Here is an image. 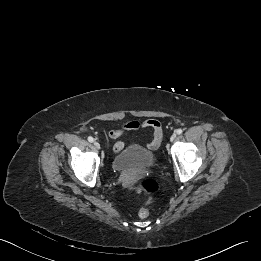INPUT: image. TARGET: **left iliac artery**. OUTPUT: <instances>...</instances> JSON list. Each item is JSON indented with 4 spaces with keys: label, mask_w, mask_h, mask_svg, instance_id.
<instances>
[{
    "label": "left iliac artery",
    "mask_w": 261,
    "mask_h": 261,
    "mask_svg": "<svg viewBox=\"0 0 261 261\" xmlns=\"http://www.w3.org/2000/svg\"><path fill=\"white\" fill-rule=\"evenodd\" d=\"M182 132H183L182 129H177V130H176V133H177V134H182Z\"/></svg>",
    "instance_id": "44dca946"
}]
</instances>
